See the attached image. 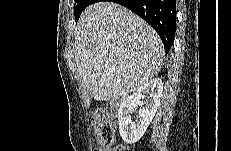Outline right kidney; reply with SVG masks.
Instances as JSON below:
<instances>
[{
  "label": "right kidney",
  "instance_id": "ca27d5eb",
  "mask_svg": "<svg viewBox=\"0 0 231 151\" xmlns=\"http://www.w3.org/2000/svg\"><path fill=\"white\" fill-rule=\"evenodd\" d=\"M162 91V80L153 78L121 103L118 111V124L120 136L124 142L134 144L142 138L155 116ZM144 98H147L145 103L141 101ZM137 106H140V110L137 119L133 121L131 114Z\"/></svg>",
  "mask_w": 231,
  "mask_h": 151
}]
</instances>
